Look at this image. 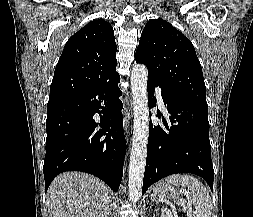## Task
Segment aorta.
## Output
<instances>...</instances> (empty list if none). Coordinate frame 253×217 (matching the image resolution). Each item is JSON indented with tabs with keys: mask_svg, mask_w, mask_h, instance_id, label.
Segmentation results:
<instances>
[{
	"mask_svg": "<svg viewBox=\"0 0 253 217\" xmlns=\"http://www.w3.org/2000/svg\"><path fill=\"white\" fill-rule=\"evenodd\" d=\"M147 67L137 64L131 72V90L133 97V139L129 162L128 195L129 201L136 203L141 196L146 166L149 108L147 94Z\"/></svg>",
	"mask_w": 253,
	"mask_h": 217,
	"instance_id": "aorta-1",
	"label": "aorta"
}]
</instances>
